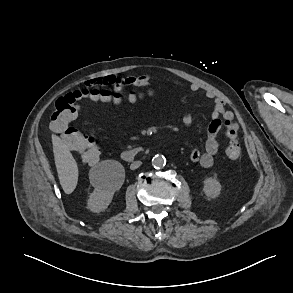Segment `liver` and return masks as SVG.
Returning <instances> with one entry per match:
<instances>
[{
    "label": "liver",
    "mask_w": 293,
    "mask_h": 293,
    "mask_svg": "<svg viewBox=\"0 0 293 293\" xmlns=\"http://www.w3.org/2000/svg\"><path fill=\"white\" fill-rule=\"evenodd\" d=\"M53 153L58 178L66 194L74 191L78 182V166L67 145L52 135Z\"/></svg>",
    "instance_id": "6515ba94"
}]
</instances>
